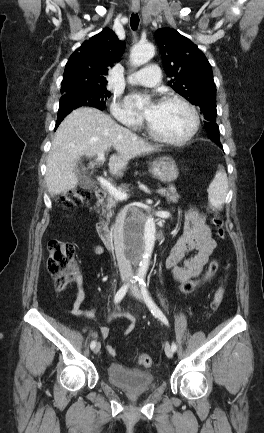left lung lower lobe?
Segmentation results:
<instances>
[{"label": "left lung lower lobe", "instance_id": "0a47b994", "mask_svg": "<svg viewBox=\"0 0 264 433\" xmlns=\"http://www.w3.org/2000/svg\"><path fill=\"white\" fill-rule=\"evenodd\" d=\"M215 143L218 144V146L223 149V147H222V145H221V143L219 141H215Z\"/></svg>", "mask_w": 264, "mask_h": 433}]
</instances>
